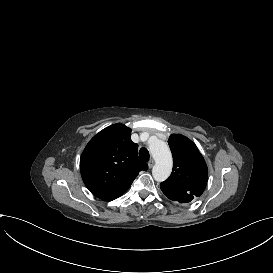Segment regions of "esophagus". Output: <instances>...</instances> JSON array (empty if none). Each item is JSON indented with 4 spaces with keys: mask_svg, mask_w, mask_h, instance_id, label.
I'll return each instance as SVG.
<instances>
[{
    "mask_svg": "<svg viewBox=\"0 0 273 273\" xmlns=\"http://www.w3.org/2000/svg\"><path fill=\"white\" fill-rule=\"evenodd\" d=\"M148 166L150 169L154 166V160L152 158L149 160Z\"/></svg>",
    "mask_w": 273,
    "mask_h": 273,
    "instance_id": "1",
    "label": "esophagus"
}]
</instances>
